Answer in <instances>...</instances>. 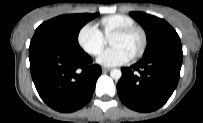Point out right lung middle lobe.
<instances>
[{
    "instance_id": "right-lung-middle-lobe-1",
    "label": "right lung middle lobe",
    "mask_w": 203,
    "mask_h": 123,
    "mask_svg": "<svg viewBox=\"0 0 203 123\" xmlns=\"http://www.w3.org/2000/svg\"><path fill=\"white\" fill-rule=\"evenodd\" d=\"M97 16V13L72 14L53 18L36 29L30 44L42 43L68 50H81L78 44L79 31Z\"/></svg>"
}]
</instances>
